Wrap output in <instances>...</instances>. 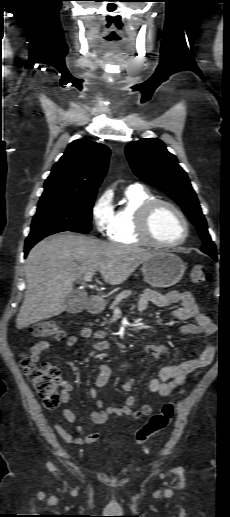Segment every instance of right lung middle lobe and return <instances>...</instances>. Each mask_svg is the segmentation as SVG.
<instances>
[{
  "label": "right lung middle lobe",
  "instance_id": "obj_1",
  "mask_svg": "<svg viewBox=\"0 0 230 517\" xmlns=\"http://www.w3.org/2000/svg\"><path fill=\"white\" fill-rule=\"evenodd\" d=\"M95 196L96 193L41 197L28 237L58 231H90Z\"/></svg>",
  "mask_w": 230,
  "mask_h": 517
}]
</instances>
